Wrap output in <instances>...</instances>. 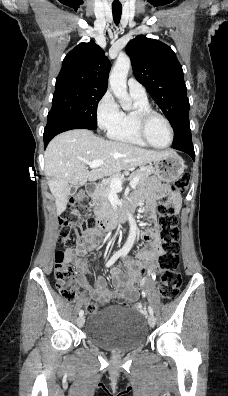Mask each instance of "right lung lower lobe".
Here are the masks:
<instances>
[{"mask_svg": "<svg viewBox=\"0 0 228 396\" xmlns=\"http://www.w3.org/2000/svg\"><path fill=\"white\" fill-rule=\"evenodd\" d=\"M79 128H85L89 129V126L78 121L75 119H72L67 116H62V115H53L49 116L48 115V121L47 125L44 129V146L46 148L47 144L49 141L57 134L71 130V129H79Z\"/></svg>", "mask_w": 228, "mask_h": 396, "instance_id": "obj_1", "label": "right lung lower lobe"}]
</instances>
